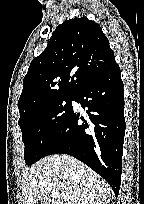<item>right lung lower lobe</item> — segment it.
<instances>
[{
  "label": "right lung lower lobe",
  "instance_id": "right-lung-lower-lobe-1",
  "mask_svg": "<svg viewBox=\"0 0 144 204\" xmlns=\"http://www.w3.org/2000/svg\"><path fill=\"white\" fill-rule=\"evenodd\" d=\"M74 101L87 109L86 114L72 111L44 157L63 153L79 159L101 175L117 197L125 135L124 89L118 64L114 61L90 80Z\"/></svg>",
  "mask_w": 144,
  "mask_h": 204
}]
</instances>
